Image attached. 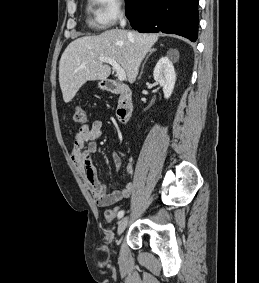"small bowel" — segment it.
I'll use <instances>...</instances> for the list:
<instances>
[{"label":"small bowel","mask_w":259,"mask_h":283,"mask_svg":"<svg viewBox=\"0 0 259 283\" xmlns=\"http://www.w3.org/2000/svg\"><path fill=\"white\" fill-rule=\"evenodd\" d=\"M102 136V122L93 121L78 129L73 140V147L70 150V158L77 171L87 182L89 190L99 206H110L129 197L134 190L135 170L132 163L126 166V175L129 182L120 190L107 193V185L99 181L97 172L92 164V157L97 153V140ZM121 150L111 153V160L116 171L122 167ZM110 221V220H109Z\"/></svg>","instance_id":"small-bowel-1"}]
</instances>
